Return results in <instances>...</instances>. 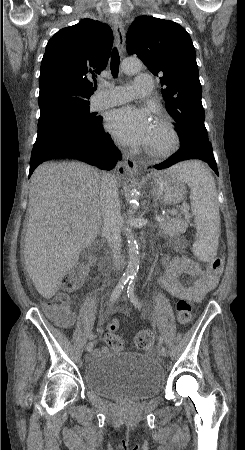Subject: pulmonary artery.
I'll return each mask as SVG.
<instances>
[{
  "label": "pulmonary artery",
  "mask_w": 245,
  "mask_h": 450,
  "mask_svg": "<svg viewBox=\"0 0 245 450\" xmlns=\"http://www.w3.org/2000/svg\"><path fill=\"white\" fill-rule=\"evenodd\" d=\"M154 79L149 74L138 75L132 83L119 86L110 85L96 94V109L110 107L131 101L136 96H147L152 93ZM133 90L134 93H131Z\"/></svg>",
  "instance_id": "e3ab8cb5"
}]
</instances>
